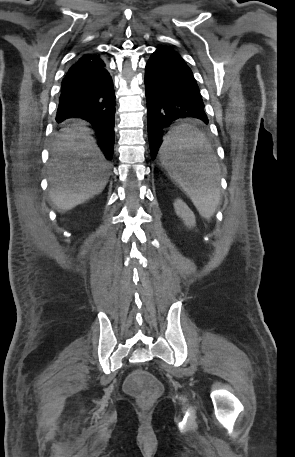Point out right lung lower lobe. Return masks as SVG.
<instances>
[{"mask_svg":"<svg viewBox=\"0 0 295 457\" xmlns=\"http://www.w3.org/2000/svg\"><path fill=\"white\" fill-rule=\"evenodd\" d=\"M115 94L113 81L97 53H85L69 68L62 86L56 121L78 117L97 130L98 145L111 160L114 149Z\"/></svg>","mask_w":295,"mask_h":457,"instance_id":"obj_1","label":"right lung lower lobe"}]
</instances>
